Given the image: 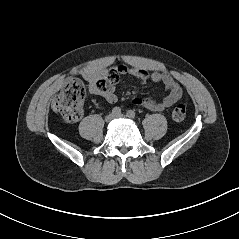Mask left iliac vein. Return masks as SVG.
Instances as JSON below:
<instances>
[{
  "instance_id": "obj_1",
  "label": "left iliac vein",
  "mask_w": 239,
  "mask_h": 239,
  "mask_svg": "<svg viewBox=\"0 0 239 239\" xmlns=\"http://www.w3.org/2000/svg\"><path fill=\"white\" fill-rule=\"evenodd\" d=\"M115 117H116V118H125V116H124L123 114L116 115Z\"/></svg>"
}]
</instances>
